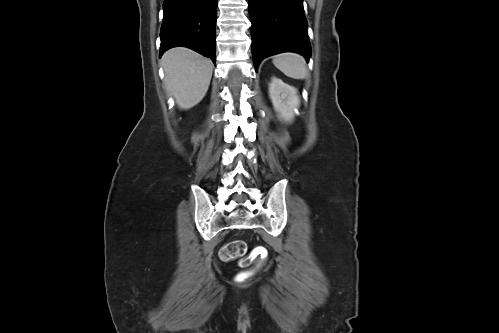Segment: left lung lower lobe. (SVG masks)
Returning <instances> with one entry per match:
<instances>
[{"label":"left lung lower lobe","mask_w":499,"mask_h":333,"mask_svg":"<svg viewBox=\"0 0 499 333\" xmlns=\"http://www.w3.org/2000/svg\"><path fill=\"white\" fill-rule=\"evenodd\" d=\"M249 14L256 70L264 58L282 52H296L309 60L303 0H249Z\"/></svg>","instance_id":"0a47b994"}]
</instances>
